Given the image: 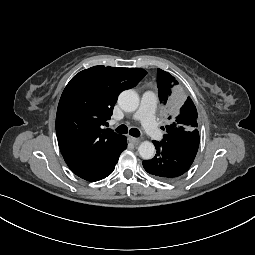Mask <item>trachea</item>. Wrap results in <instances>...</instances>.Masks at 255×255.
I'll use <instances>...</instances> for the list:
<instances>
[{
    "mask_svg": "<svg viewBox=\"0 0 255 255\" xmlns=\"http://www.w3.org/2000/svg\"><path fill=\"white\" fill-rule=\"evenodd\" d=\"M116 132L120 133V134H127L129 132V134L133 137H139L140 136V131L136 128H131L128 131V128L126 125H120L118 128H116Z\"/></svg>",
    "mask_w": 255,
    "mask_h": 255,
    "instance_id": "obj_1",
    "label": "trachea"
}]
</instances>
